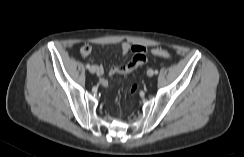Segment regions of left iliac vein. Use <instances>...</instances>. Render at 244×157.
Returning a JSON list of instances; mask_svg holds the SVG:
<instances>
[{
  "label": "left iliac vein",
  "mask_w": 244,
  "mask_h": 157,
  "mask_svg": "<svg viewBox=\"0 0 244 157\" xmlns=\"http://www.w3.org/2000/svg\"><path fill=\"white\" fill-rule=\"evenodd\" d=\"M153 74H154V71H153L152 69H149V70L147 71V75H148L149 77L153 76Z\"/></svg>",
  "instance_id": "left-iliac-vein-1"
}]
</instances>
